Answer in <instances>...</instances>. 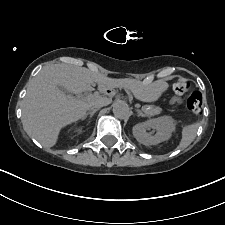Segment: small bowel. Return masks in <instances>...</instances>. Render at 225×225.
I'll return each mask as SVG.
<instances>
[{
	"mask_svg": "<svg viewBox=\"0 0 225 225\" xmlns=\"http://www.w3.org/2000/svg\"><path fill=\"white\" fill-rule=\"evenodd\" d=\"M173 102H174V103H179V102H180V99L174 98V99H173Z\"/></svg>",
	"mask_w": 225,
	"mask_h": 225,
	"instance_id": "c3829d8e",
	"label": "small bowel"
}]
</instances>
